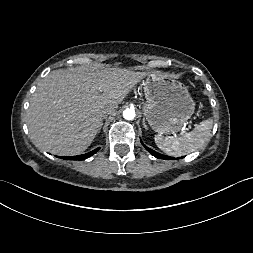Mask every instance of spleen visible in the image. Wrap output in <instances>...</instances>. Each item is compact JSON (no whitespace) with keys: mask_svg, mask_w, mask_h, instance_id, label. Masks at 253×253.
Segmentation results:
<instances>
[{"mask_svg":"<svg viewBox=\"0 0 253 253\" xmlns=\"http://www.w3.org/2000/svg\"><path fill=\"white\" fill-rule=\"evenodd\" d=\"M213 121L207 119L197 125L191 132L179 137L155 135V143L159 149L170 156H182L196 151L203 146L211 135Z\"/></svg>","mask_w":253,"mask_h":253,"instance_id":"1","label":"spleen"}]
</instances>
